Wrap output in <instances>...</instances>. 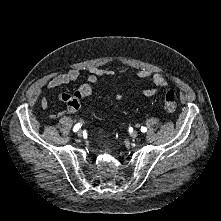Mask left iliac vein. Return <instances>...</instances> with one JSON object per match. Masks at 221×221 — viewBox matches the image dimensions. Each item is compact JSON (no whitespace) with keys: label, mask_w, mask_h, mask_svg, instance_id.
<instances>
[{"label":"left iliac vein","mask_w":221,"mask_h":221,"mask_svg":"<svg viewBox=\"0 0 221 221\" xmlns=\"http://www.w3.org/2000/svg\"><path fill=\"white\" fill-rule=\"evenodd\" d=\"M130 136H131L132 138H136V137H138V132L133 131V132L130 134Z\"/></svg>","instance_id":"left-iliac-vein-1"}]
</instances>
